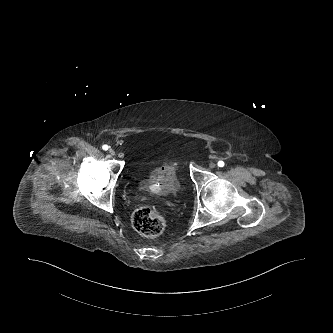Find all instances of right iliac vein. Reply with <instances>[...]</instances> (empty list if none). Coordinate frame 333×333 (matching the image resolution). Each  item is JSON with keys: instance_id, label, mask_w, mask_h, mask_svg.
I'll use <instances>...</instances> for the list:
<instances>
[{"instance_id": "63e3f726", "label": "right iliac vein", "mask_w": 333, "mask_h": 333, "mask_svg": "<svg viewBox=\"0 0 333 333\" xmlns=\"http://www.w3.org/2000/svg\"><path fill=\"white\" fill-rule=\"evenodd\" d=\"M109 153L114 156L115 155V151L113 149H109Z\"/></svg>"}]
</instances>
